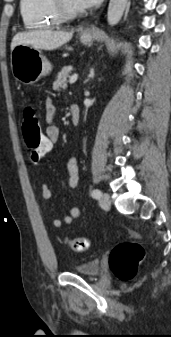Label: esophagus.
Listing matches in <instances>:
<instances>
[{
  "label": "esophagus",
  "mask_w": 171,
  "mask_h": 337,
  "mask_svg": "<svg viewBox=\"0 0 171 337\" xmlns=\"http://www.w3.org/2000/svg\"><path fill=\"white\" fill-rule=\"evenodd\" d=\"M93 31H94V26L91 25V26L87 27V28L83 31V34H84V35H90Z\"/></svg>",
  "instance_id": "1"
}]
</instances>
